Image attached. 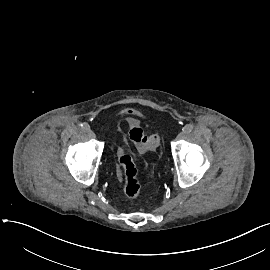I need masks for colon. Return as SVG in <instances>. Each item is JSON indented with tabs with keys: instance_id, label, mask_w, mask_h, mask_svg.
Segmentation results:
<instances>
[{
	"instance_id": "colon-1",
	"label": "colon",
	"mask_w": 270,
	"mask_h": 270,
	"mask_svg": "<svg viewBox=\"0 0 270 270\" xmlns=\"http://www.w3.org/2000/svg\"><path fill=\"white\" fill-rule=\"evenodd\" d=\"M129 138L140 152L155 150L160 144L158 133H145L136 122H132L128 132ZM118 176L123 195L129 200H136L141 195V186L135 164L124 144L117 151Z\"/></svg>"
}]
</instances>
